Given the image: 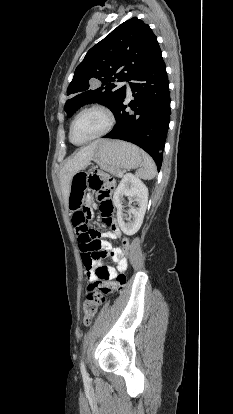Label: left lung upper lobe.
<instances>
[{
  "mask_svg": "<svg viewBox=\"0 0 233 414\" xmlns=\"http://www.w3.org/2000/svg\"><path fill=\"white\" fill-rule=\"evenodd\" d=\"M160 51L151 28L133 17L92 47L75 70L67 89L64 110L70 117L81 106L98 102L112 112L125 95V87L113 82L132 80Z\"/></svg>",
  "mask_w": 233,
  "mask_h": 414,
  "instance_id": "obj_1",
  "label": "left lung upper lobe"
}]
</instances>
